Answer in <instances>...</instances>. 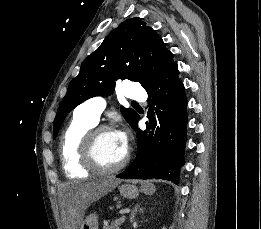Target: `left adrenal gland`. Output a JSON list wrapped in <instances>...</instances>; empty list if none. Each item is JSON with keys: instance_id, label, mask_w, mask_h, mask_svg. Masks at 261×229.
Wrapping results in <instances>:
<instances>
[{"instance_id": "left-adrenal-gland-1", "label": "left adrenal gland", "mask_w": 261, "mask_h": 229, "mask_svg": "<svg viewBox=\"0 0 261 229\" xmlns=\"http://www.w3.org/2000/svg\"><path fill=\"white\" fill-rule=\"evenodd\" d=\"M139 207H140V205H135V209H134V211H132V213H131V215H130V221H131V223H134V221H135L134 217H135V215H136V213H137ZM140 213H143V209H140Z\"/></svg>"}]
</instances>
